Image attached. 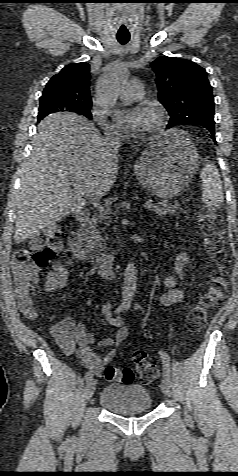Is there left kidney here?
Instances as JSON below:
<instances>
[{
    "label": "left kidney",
    "mask_w": 238,
    "mask_h": 476,
    "mask_svg": "<svg viewBox=\"0 0 238 476\" xmlns=\"http://www.w3.org/2000/svg\"><path fill=\"white\" fill-rule=\"evenodd\" d=\"M189 262V257L187 256L186 253H183L181 255H179L176 259V262H175V271L176 273L180 276V278H182L183 276V266L185 264H187Z\"/></svg>",
    "instance_id": "5707ae66"
}]
</instances>
